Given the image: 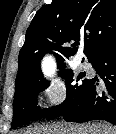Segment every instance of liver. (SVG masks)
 Masks as SVG:
<instances>
[{
  "instance_id": "liver-1",
  "label": "liver",
  "mask_w": 116,
  "mask_h": 134,
  "mask_svg": "<svg viewBox=\"0 0 116 134\" xmlns=\"http://www.w3.org/2000/svg\"><path fill=\"white\" fill-rule=\"evenodd\" d=\"M24 134H116V130L106 123L86 126L61 123L34 128Z\"/></svg>"
}]
</instances>
